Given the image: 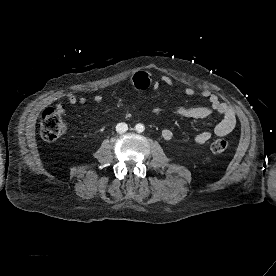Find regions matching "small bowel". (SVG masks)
Masks as SVG:
<instances>
[{"mask_svg":"<svg viewBox=\"0 0 276 276\" xmlns=\"http://www.w3.org/2000/svg\"><path fill=\"white\" fill-rule=\"evenodd\" d=\"M162 83L166 86H172L174 84L173 79L168 75H163L160 79H156L149 71H139L131 79L130 85L138 90H145L150 87H158ZM186 96H193L196 94V90L192 87H187L184 90ZM203 98H206L210 102V106H197V107H185L177 106L174 108V113L182 118L187 119H204L210 116L213 112H217L222 115V120L215 126L214 134L216 136H226L231 133L236 126V114L234 109L222 102L215 94L209 90H204L201 93ZM94 102L100 103L103 100L101 95L94 96ZM85 97H77L74 93H67L61 97L56 103V110L64 114V102L69 104H85ZM212 136L211 132L204 131L195 135L194 140L198 144H204L210 140ZM162 137L164 140H171L173 138V132L170 129H164L162 131Z\"/></svg>","mask_w":276,"mask_h":276,"instance_id":"1","label":"small bowel"}]
</instances>
